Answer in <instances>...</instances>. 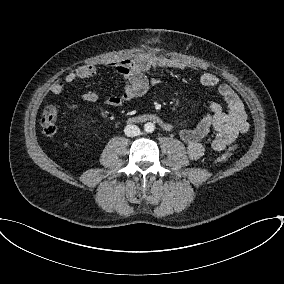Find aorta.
<instances>
[{"instance_id": "1", "label": "aorta", "mask_w": 284, "mask_h": 284, "mask_svg": "<svg viewBox=\"0 0 284 284\" xmlns=\"http://www.w3.org/2000/svg\"><path fill=\"white\" fill-rule=\"evenodd\" d=\"M155 130V126L153 123L151 122H147L145 125H144V131L147 132V133H152L153 131Z\"/></svg>"}]
</instances>
